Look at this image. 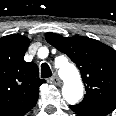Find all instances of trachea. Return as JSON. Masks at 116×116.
<instances>
[{
	"mask_svg": "<svg viewBox=\"0 0 116 116\" xmlns=\"http://www.w3.org/2000/svg\"><path fill=\"white\" fill-rule=\"evenodd\" d=\"M52 76L51 69L47 63H43L41 65V77L42 78H49Z\"/></svg>",
	"mask_w": 116,
	"mask_h": 116,
	"instance_id": "1",
	"label": "trachea"
}]
</instances>
